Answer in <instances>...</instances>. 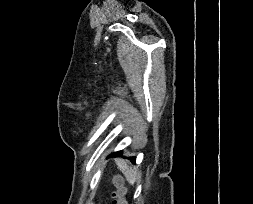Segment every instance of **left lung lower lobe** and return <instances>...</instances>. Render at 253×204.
<instances>
[{"instance_id": "obj_1", "label": "left lung lower lobe", "mask_w": 253, "mask_h": 204, "mask_svg": "<svg viewBox=\"0 0 253 204\" xmlns=\"http://www.w3.org/2000/svg\"><path fill=\"white\" fill-rule=\"evenodd\" d=\"M121 153H122V151H119V152L114 153L113 155H114V156H120ZM130 159H131V161H132L133 163H135V160H136L135 157H132V158H130Z\"/></svg>"}]
</instances>
